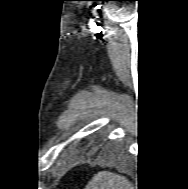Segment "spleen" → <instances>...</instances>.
Here are the masks:
<instances>
[{
  "instance_id": "spleen-1",
  "label": "spleen",
  "mask_w": 188,
  "mask_h": 189,
  "mask_svg": "<svg viewBox=\"0 0 188 189\" xmlns=\"http://www.w3.org/2000/svg\"><path fill=\"white\" fill-rule=\"evenodd\" d=\"M86 189H132L126 178L117 174L98 172L86 186Z\"/></svg>"
}]
</instances>
